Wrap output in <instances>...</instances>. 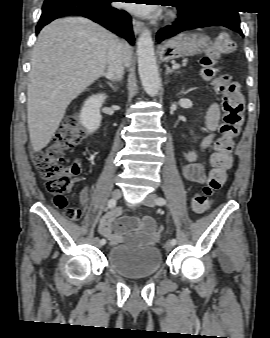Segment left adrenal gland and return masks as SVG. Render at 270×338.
I'll list each match as a JSON object with an SVG mask.
<instances>
[{
	"label": "left adrenal gland",
	"mask_w": 270,
	"mask_h": 338,
	"mask_svg": "<svg viewBox=\"0 0 270 338\" xmlns=\"http://www.w3.org/2000/svg\"><path fill=\"white\" fill-rule=\"evenodd\" d=\"M165 67H166V73H165L166 75L174 72V70H172L167 64H165Z\"/></svg>",
	"instance_id": "1"
}]
</instances>
